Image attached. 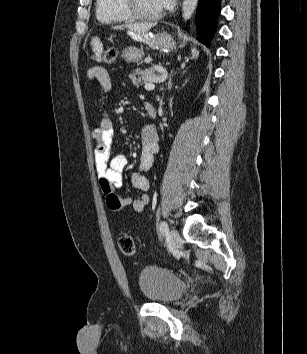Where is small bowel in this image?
I'll return each mask as SVG.
<instances>
[{
    "label": "small bowel",
    "mask_w": 307,
    "mask_h": 354,
    "mask_svg": "<svg viewBox=\"0 0 307 354\" xmlns=\"http://www.w3.org/2000/svg\"><path fill=\"white\" fill-rule=\"evenodd\" d=\"M126 38H137V31L129 29L126 31ZM93 59L101 61L102 47L99 43L92 46ZM88 81H97L104 93H109L112 82L107 69L101 65H94L87 72ZM147 114L152 117L155 114L151 105L146 106ZM96 141L95 148V170L98 176L101 191L105 197L108 208L112 211H119L127 206H132L135 212H142L150 202L148 191L150 182L143 175L153 164L154 155L158 151V139L156 129L152 125L145 126L140 134L141 158L137 172L132 176L134 188L141 191L137 198L120 197L115 190L122 185L123 171L127 166L128 160L123 154L111 155V146L114 137L113 122L109 114L105 113L97 128L93 131Z\"/></svg>",
    "instance_id": "obj_1"
}]
</instances>
